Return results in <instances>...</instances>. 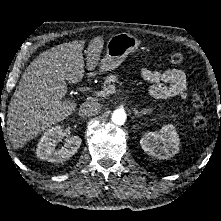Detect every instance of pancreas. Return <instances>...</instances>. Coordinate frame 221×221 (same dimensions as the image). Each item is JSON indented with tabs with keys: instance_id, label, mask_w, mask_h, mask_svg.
Instances as JSON below:
<instances>
[{
	"instance_id": "1",
	"label": "pancreas",
	"mask_w": 221,
	"mask_h": 221,
	"mask_svg": "<svg viewBox=\"0 0 221 221\" xmlns=\"http://www.w3.org/2000/svg\"><path fill=\"white\" fill-rule=\"evenodd\" d=\"M116 82H118V77L117 75L111 74L106 77L104 83H103V90H106L110 88L112 85H114Z\"/></svg>"
}]
</instances>
